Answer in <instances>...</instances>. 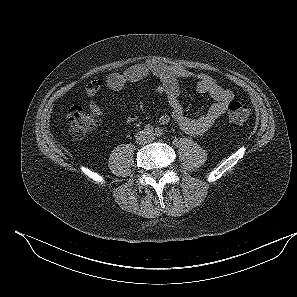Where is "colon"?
I'll return each mask as SVG.
<instances>
[{"mask_svg": "<svg viewBox=\"0 0 297 297\" xmlns=\"http://www.w3.org/2000/svg\"><path fill=\"white\" fill-rule=\"evenodd\" d=\"M251 116V109L248 105L233 101L228 110L229 123L233 126H242L248 122ZM69 122V138L72 141H79L89 134L97 125L94 116L84 112L79 106H72L67 110Z\"/></svg>", "mask_w": 297, "mask_h": 297, "instance_id": "1", "label": "colon"}]
</instances>
